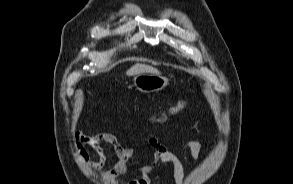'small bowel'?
<instances>
[{"instance_id": "small-bowel-1", "label": "small bowel", "mask_w": 293, "mask_h": 184, "mask_svg": "<svg viewBox=\"0 0 293 184\" xmlns=\"http://www.w3.org/2000/svg\"><path fill=\"white\" fill-rule=\"evenodd\" d=\"M75 149L85 164L89 163V154L84 146L90 147L98 156L95 163L96 168H103L107 162L106 151L102 143L111 145L115 152V163L107 172L105 178L112 179L118 175L124 174L129 170V163L134 159L133 149L125 148L121 145L118 138L109 132L92 131L89 133L76 132L74 135ZM148 144L153 150V159L147 164H137L135 172L137 176L129 184H152L149 177L150 173L161 165L170 164L173 169V179L175 184H182L184 178V166L179 158L169 151L167 147L155 136L148 139ZM189 152L194 160H198L201 152V143L198 140H191L188 144Z\"/></svg>"}]
</instances>
